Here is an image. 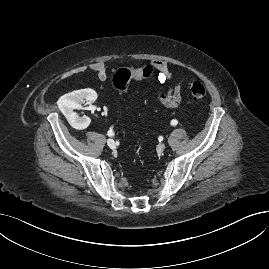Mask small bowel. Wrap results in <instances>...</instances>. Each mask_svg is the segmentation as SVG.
Instances as JSON below:
<instances>
[{
  "mask_svg": "<svg viewBox=\"0 0 269 269\" xmlns=\"http://www.w3.org/2000/svg\"><path fill=\"white\" fill-rule=\"evenodd\" d=\"M151 65L157 71L158 81L166 85V91L157 94L156 101L167 108L177 107L182 101L183 94L181 86L173 82L170 65L166 61L159 59L152 60ZM86 69L93 71L100 80H106L108 77V68L102 62H92L86 66ZM141 71L142 68L132 70L135 79L142 78Z\"/></svg>",
  "mask_w": 269,
  "mask_h": 269,
  "instance_id": "small-bowel-1",
  "label": "small bowel"
}]
</instances>
